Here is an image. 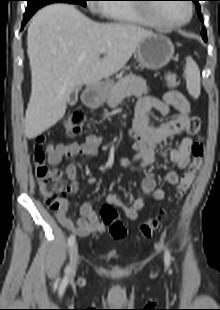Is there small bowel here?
<instances>
[{"mask_svg": "<svg viewBox=\"0 0 220 310\" xmlns=\"http://www.w3.org/2000/svg\"><path fill=\"white\" fill-rule=\"evenodd\" d=\"M153 109L167 120L157 126L151 124L149 113ZM199 129L200 119L191 114L189 100L181 91L169 90L162 99L143 96L137 102L133 126L129 130V135L136 141L138 164L124 158L119 160V164L141 174L144 168L153 162L155 149L163 140L182 133L196 134ZM192 142L189 135H184L180 138L177 147L169 152V159L179 170L185 169L189 164ZM102 144L103 139L95 135H88L81 143L49 144L46 147L47 160L50 165H57L64 157L79 155L93 157ZM65 173L70 180L67 192L74 194L79 190L77 166L74 163L68 164ZM178 181L179 174L176 171H169L165 175V183L169 186L176 185ZM87 182L95 184L97 179L94 176H89ZM148 195H152L155 200H162L165 197V190L162 187H157L155 178L150 175L143 178L141 194L134 199L131 205L124 204L115 193H109L106 201L123 209L127 218L135 221L138 219L139 212L144 207ZM68 205V201L64 199L61 207L55 211L56 218L66 229L80 237L98 236L104 232V224L100 221L91 203L85 202L81 205V217L76 221L69 217Z\"/></svg>", "mask_w": 220, "mask_h": 310, "instance_id": "1", "label": "small bowel"}]
</instances>
